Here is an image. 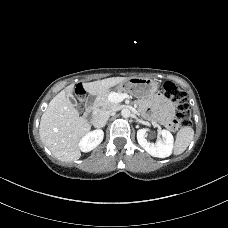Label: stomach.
<instances>
[{
	"mask_svg": "<svg viewBox=\"0 0 228 228\" xmlns=\"http://www.w3.org/2000/svg\"><path fill=\"white\" fill-rule=\"evenodd\" d=\"M158 87L157 81L146 77H130L116 85L118 91L142 98L154 95L158 91Z\"/></svg>",
	"mask_w": 228,
	"mask_h": 228,
	"instance_id": "obj_1",
	"label": "stomach"
}]
</instances>
